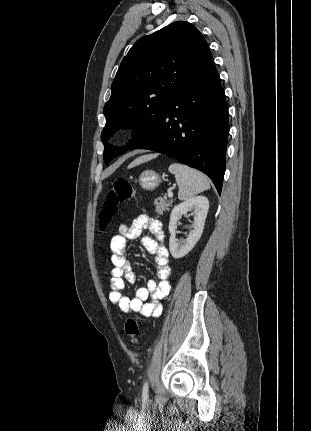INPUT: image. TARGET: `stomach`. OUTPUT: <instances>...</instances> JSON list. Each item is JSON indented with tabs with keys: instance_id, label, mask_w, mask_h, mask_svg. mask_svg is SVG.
<instances>
[{
	"instance_id": "1",
	"label": "stomach",
	"mask_w": 311,
	"mask_h": 431,
	"mask_svg": "<svg viewBox=\"0 0 311 431\" xmlns=\"http://www.w3.org/2000/svg\"><path fill=\"white\" fill-rule=\"evenodd\" d=\"M161 182L162 178L160 174H157L154 170H144L138 178L140 188H142V190H149V192H151V190H156Z\"/></svg>"
}]
</instances>
